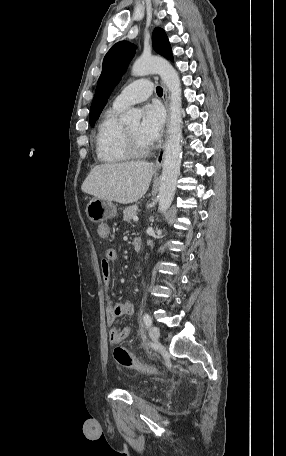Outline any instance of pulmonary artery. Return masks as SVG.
Returning a JSON list of instances; mask_svg holds the SVG:
<instances>
[{
	"label": "pulmonary artery",
	"mask_w": 286,
	"mask_h": 456,
	"mask_svg": "<svg viewBox=\"0 0 286 456\" xmlns=\"http://www.w3.org/2000/svg\"><path fill=\"white\" fill-rule=\"evenodd\" d=\"M152 93L151 82L146 78H142L126 86L114 99L113 106L125 109L146 100Z\"/></svg>",
	"instance_id": "pulmonary-artery-1"
}]
</instances>
